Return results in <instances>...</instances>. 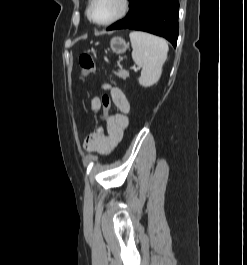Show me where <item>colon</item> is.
I'll return each instance as SVG.
<instances>
[{
    "mask_svg": "<svg viewBox=\"0 0 247 265\" xmlns=\"http://www.w3.org/2000/svg\"><path fill=\"white\" fill-rule=\"evenodd\" d=\"M79 65L81 73L83 75H89L93 73L96 69V64L94 59L88 54H82L79 57ZM111 108V100L108 96L103 99V118L106 119L109 116Z\"/></svg>",
    "mask_w": 247,
    "mask_h": 265,
    "instance_id": "colon-1",
    "label": "colon"
}]
</instances>
